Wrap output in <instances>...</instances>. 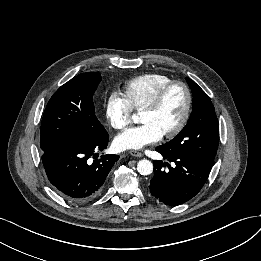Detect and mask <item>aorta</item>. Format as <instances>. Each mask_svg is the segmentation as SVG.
<instances>
[{
    "label": "aorta",
    "mask_w": 261,
    "mask_h": 261,
    "mask_svg": "<svg viewBox=\"0 0 261 261\" xmlns=\"http://www.w3.org/2000/svg\"><path fill=\"white\" fill-rule=\"evenodd\" d=\"M137 171L141 175H149L153 171V164L147 159L140 160L137 164Z\"/></svg>",
    "instance_id": "aorta-1"
}]
</instances>
